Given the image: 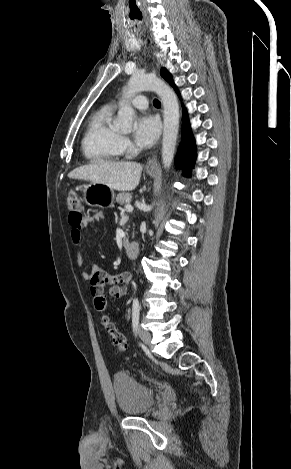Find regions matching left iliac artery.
Returning <instances> with one entry per match:
<instances>
[{"mask_svg":"<svg viewBox=\"0 0 291 469\" xmlns=\"http://www.w3.org/2000/svg\"><path fill=\"white\" fill-rule=\"evenodd\" d=\"M140 304L137 298H134L132 305V326L133 331L136 332L139 324Z\"/></svg>","mask_w":291,"mask_h":469,"instance_id":"44dca946","label":"left iliac artery"}]
</instances>
